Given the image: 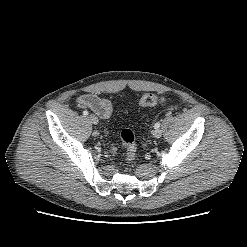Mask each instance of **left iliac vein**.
Here are the masks:
<instances>
[{
  "label": "left iliac vein",
  "instance_id": "1",
  "mask_svg": "<svg viewBox=\"0 0 247 247\" xmlns=\"http://www.w3.org/2000/svg\"><path fill=\"white\" fill-rule=\"evenodd\" d=\"M153 136L156 138H160L162 136V130L159 128H156L152 132Z\"/></svg>",
  "mask_w": 247,
  "mask_h": 247
}]
</instances>
